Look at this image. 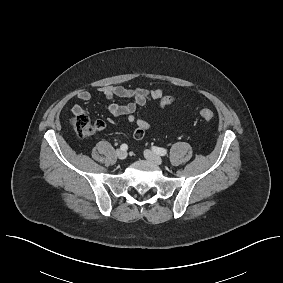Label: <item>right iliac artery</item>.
Listing matches in <instances>:
<instances>
[{
	"mask_svg": "<svg viewBox=\"0 0 283 283\" xmlns=\"http://www.w3.org/2000/svg\"><path fill=\"white\" fill-rule=\"evenodd\" d=\"M120 148H121V150L126 151V150L128 149V146H127V144H122V145L120 146Z\"/></svg>",
	"mask_w": 283,
	"mask_h": 283,
	"instance_id": "obj_1",
	"label": "right iliac artery"
}]
</instances>
